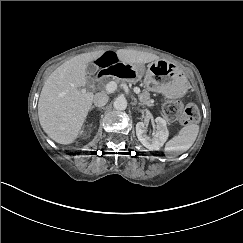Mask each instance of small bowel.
Listing matches in <instances>:
<instances>
[{
  "mask_svg": "<svg viewBox=\"0 0 243 243\" xmlns=\"http://www.w3.org/2000/svg\"><path fill=\"white\" fill-rule=\"evenodd\" d=\"M95 63L104 70L125 62L116 51H105L95 59Z\"/></svg>",
  "mask_w": 243,
  "mask_h": 243,
  "instance_id": "1",
  "label": "small bowel"
}]
</instances>
